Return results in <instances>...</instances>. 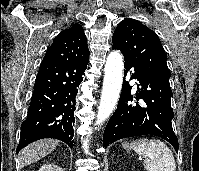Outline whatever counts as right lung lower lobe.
<instances>
[{"instance_id": "1", "label": "right lung lower lobe", "mask_w": 199, "mask_h": 171, "mask_svg": "<svg viewBox=\"0 0 199 171\" xmlns=\"http://www.w3.org/2000/svg\"><path fill=\"white\" fill-rule=\"evenodd\" d=\"M89 59L41 63L17 153L28 144L55 138L73 147L76 96Z\"/></svg>"}]
</instances>
